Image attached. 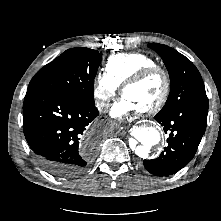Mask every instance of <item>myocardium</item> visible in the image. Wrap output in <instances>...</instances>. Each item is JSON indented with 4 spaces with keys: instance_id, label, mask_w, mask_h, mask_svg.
Wrapping results in <instances>:
<instances>
[{
    "instance_id": "1",
    "label": "myocardium",
    "mask_w": 221,
    "mask_h": 221,
    "mask_svg": "<svg viewBox=\"0 0 221 221\" xmlns=\"http://www.w3.org/2000/svg\"><path fill=\"white\" fill-rule=\"evenodd\" d=\"M155 75H160L163 80V91L158 98L156 102L151 104L149 107L139 110L138 112L142 115H148V114H154L161 110L163 106L166 104L169 95H170V89H171V82L169 74L165 69L158 65L149 66L146 68L141 69L137 73H135L133 76H131L128 80L125 81L122 87V93L124 94L125 91L135 84H138L150 77H153Z\"/></svg>"
}]
</instances>
